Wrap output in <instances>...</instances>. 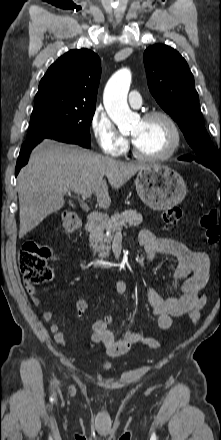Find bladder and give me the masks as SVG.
Segmentation results:
<instances>
[{"mask_svg": "<svg viewBox=\"0 0 221 440\" xmlns=\"http://www.w3.org/2000/svg\"><path fill=\"white\" fill-rule=\"evenodd\" d=\"M111 367H112L111 363H107L106 362V363L102 364V368L105 369V370L110 369Z\"/></svg>", "mask_w": 221, "mask_h": 440, "instance_id": "1", "label": "bladder"}]
</instances>
